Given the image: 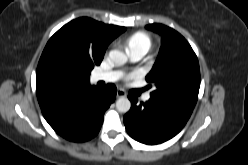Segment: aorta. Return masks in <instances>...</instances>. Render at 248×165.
<instances>
[{
    "label": "aorta",
    "mask_w": 248,
    "mask_h": 165,
    "mask_svg": "<svg viewBox=\"0 0 248 165\" xmlns=\"http://www.w3.org/2000/svg\"><path fill=\"white\" fill-rule=\"evenodd\" d=\"M109 59L112 63L118 66L124 65L128 60L126 54L119 50H111L109 53ZM130 107L131 102L126 97H120L116 101V108L119 112L126 113L130 110Z\"/></svg>",
    "instance_id": "762f6f07"
}]
</instances>
